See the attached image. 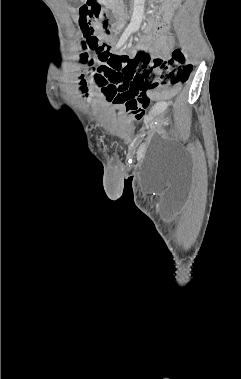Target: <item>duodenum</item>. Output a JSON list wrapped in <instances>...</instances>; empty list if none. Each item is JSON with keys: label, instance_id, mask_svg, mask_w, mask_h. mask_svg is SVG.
Instances as JSON below:
<instances>
[{"label": "duodenum", "instance_id": "1", "mask_svg": "<svg viewBox=\"0 0 241 379\" xmlns=\"http://www.w3.org/2000/svg\"><path fill=\"white\" fill-rule=\"evenodd\" d=\"M105 3H106L108 6H113V4H114V0H105Z\"/></svg>", "mask_w": 241, "mask_h": 379}]
</instances>
